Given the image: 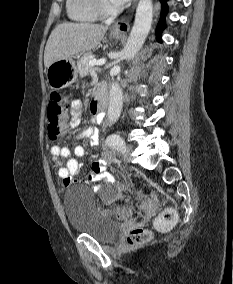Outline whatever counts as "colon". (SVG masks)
I'll return each instance as SVG.
<instances>
[{"mask_svg": "<svg viewBox=\"0 0 233 284\" xmlns=\"http://www.w3.org/2000/svg\"><path fill=\"white\" fill-rule=\"evenodd\" d=\"M66 100L58 92H53L50 95L47 107V132L52 140L61 137L65 131L66 122ZM155 202L152 198H146L140 204V210L149 213L154 209ZM120 218H125L129 215V211L125 208H120L116 212ZM177 214L172 208L165 209L158 222L161 226H169L175 224ZM152 239V233L144 228L137 227L129 233L127 241L131 245H139Z\"/></svg>", "mask_w": 233, "mask_h": 284, "instance_id": "5ec220e1", "label": "colon"}]
</instances>
